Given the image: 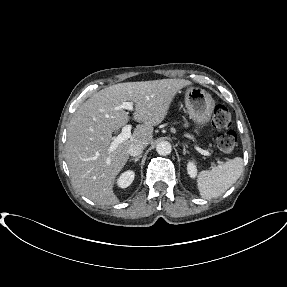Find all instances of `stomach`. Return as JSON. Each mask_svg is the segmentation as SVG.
Listing matches in <instances>:
<instances>
[{
	"label": "stomach",
	"mask_w": 287,
	"mask_h": 287,
	"mask_svg": "<svg viewBox=\"0 0 287 287\" xmlns=\"http://www.w3.org/2000/svg\"><path fill=\"white\" fill-rule=\"evenodd\" d=\"M185 105L190 118L196 124V131H199L210 121L215 102L205 90L190 87L185 91Z\"/></svg>",
	"instance_id": "1"
}]
</instances>
